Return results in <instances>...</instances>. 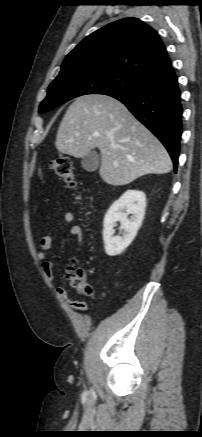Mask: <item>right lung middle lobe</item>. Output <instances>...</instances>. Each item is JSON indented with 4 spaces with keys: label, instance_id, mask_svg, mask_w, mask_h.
<instances>
[{
    "label": "right lung middle lobe",
    "instance_id": "1",
    "mask_svg": "<svg viewBox=\"0 0 202 437\" xmlns=\"http://www.w3.org/2000/svg\"><path fill=\"white\" fill-rule=\"evenodd\" d=\"M146 81L111 71L72 70L61 75L48 87L47 97L39 107L44 113L78 96L87 94H115L134 92Z\"/></svg>",
    "mask_w": 202,
    "mask_h": 437
}]
</instances>
